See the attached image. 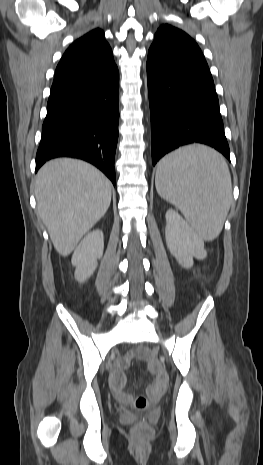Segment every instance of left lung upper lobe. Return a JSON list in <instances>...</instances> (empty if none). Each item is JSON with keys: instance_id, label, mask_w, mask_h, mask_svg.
Returning <instances> with one entry per match:
<instances>
[{"instance_id": "1", "label": "left lung upper lobe", "mask_w": 263, "mask_h": 465, "mask_svg": "<svg viewBox=\"0 0 263 465\" xmlns=\"http://www.w3.org/2000/svg\"><path fill=\"white\" fill-rule=\"evenodd\" d=\"M151 46L203 55L196 42L182 30L168 24L161 26Z\"/></svg>"}]
</instances>
